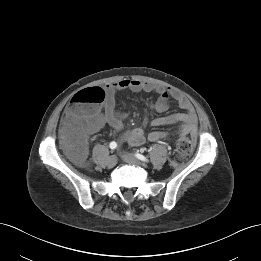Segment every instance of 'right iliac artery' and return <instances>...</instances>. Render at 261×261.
<instances>
[{
  "label": "right iliac artery",
  "mask_w": 261,
  "mask_h": 261,
  "mask_svg": "<svg viewBox=\"0 0 261 261\" xmlns=\"http://www.w3.org/2000/svg\"><path fill=\"white\" fill-rule=\"evenodd\" d=\"M117 147V143L115 141L110 143V148L115 149Z\"/></svg>",
  "instance_id": "obj_1"
}]
</instances>
